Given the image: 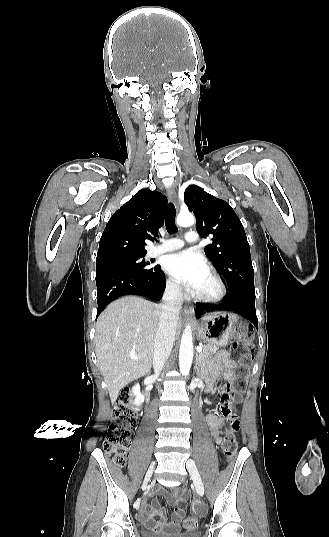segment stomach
Wrapping results in <instances>:
<instances>
[{
  "label": "stomach",
  "instance_id": "obj_1",
  "mask_svg": "<svg viewBox=\"0 0 329 537\" xmlns=\"http://www.w3.org/2000/svg\"><path fill=\"white\" fill-rule=\"evenodd\" d=\"M205 323L198 329L200 338L216 346H226L233 336L242 334L238 317L231 313H215L206 317Z\"/></svg>",
  "mask_w": 329,
  "mask_h": 537
}]
</instances>
